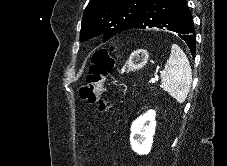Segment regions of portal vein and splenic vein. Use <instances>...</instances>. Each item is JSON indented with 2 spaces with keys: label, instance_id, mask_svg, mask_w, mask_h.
<instances>
[{
  "label": "portal vein and splenic vein",
  "instance_id": "18ae733b",
  "mask_svg": "<svg viewBox=\"0 0 227 166\" xmlns=\"http://www.w3.org/2000/svg\"><path fill=\"white\" fill-rule=\"evenodd\" d=\"M156 81H158V78H152V79L150 80L151 83H155Z\"/></svg>",
  "mask_w": 227,
  "mask_h": 166
}]
</instances>
